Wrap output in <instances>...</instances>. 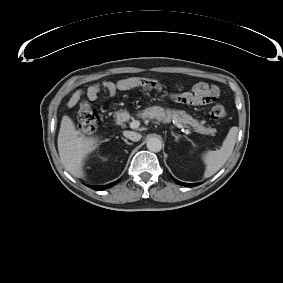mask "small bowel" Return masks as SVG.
Wrapping results in <instances>:
<instances>
[{"label": "small bowel", "mask_w": 283, "mask_h": 283, "mask_svg": "<svg viewBox=\"0 0 283 283\" xmlns=\"http://www.w3.org/2000/svg\"><path fill=\"white\" fill-rule=\"evenodd\" d=\"M138 85V82L133 78H122L116 82H103L101 85H91L86 90V96L90 101L97 99L99 91L101 88L105 89L110 97H114L119 91L127 90ZM83 92L81 90L75 91L69 101L68 106H75L81 99ZM218 94L216 87H210L205 83H197L194 86L193 94H174L172 98L180 103H191L192 101L195 104H204L207 102H212L215 100Z\"/></svg>", "instance_id": "obj_1"}]
</instances>
